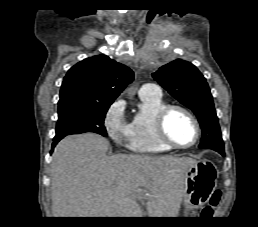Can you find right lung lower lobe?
Returning <instances> with one entry per match:
<instances>
[{
    "label": "right lung lower lobe",
    "mask_w": 258,
    "mask_h": 227,
    "mask_svg": "<svg viewBox=\"0 0 258 227\" xmlns=\"http://www.w3.org/2000/svg\"><path fill=\"white\" fill-rule=\"evenodd\" d=\"M63 138V136H55L53 139V144H52V151L55 147V145Z\"/></svg>",
    "instance_id": "obj_1"
}]
</instances>
